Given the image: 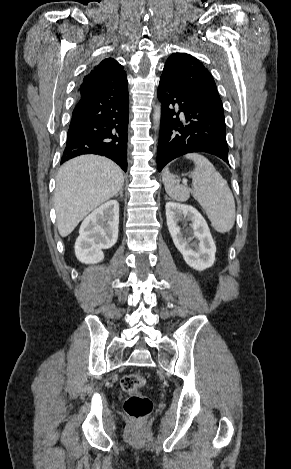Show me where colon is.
Returning <instances> with one entry per match:
<instances>
[{
	"label": "colon",
	"instance_id": "5ec220e1",
	"mask_svg": "<svg viewBox=\"0 0 291 469\" xmlns=\"http://www.w3.org/2000/svg\"><path fill=\"white\" fill-rule=\"evenodd\" d=\"M145 378L139 373L125 375L121 379V388L128 395L124 409L127 415L135 421L147 417L152 410V401L140 393L145 385Z\"/></svg>",
	"mask_w": 291,
	"mask_h": 469
}]
</instances>
